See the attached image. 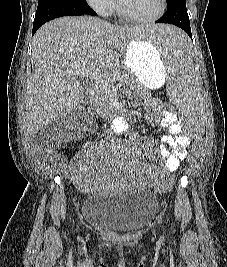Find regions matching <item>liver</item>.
Returning a JSON list of instances; mask_svg holds the SVG:
<instances>
[{
	"instance_id": "1",
	"label": "liver",
	"mask_w": 227,
	"mask_h": 267,
	"mask_svg": "<svg viewBox=\"0 0 227 267\" xmlns=\"http://www.w3.org/2000/svg\"><path fill=\"white\" fill-rule=\"evenodd\" d=\"M131 25L118 26L95 17H62L43 25L32 42V75L25 95L26 126L31 135L70 113L85 86L69 71L119 66L118 49L135 38Z\"/></svg>"
}]
</instances>
